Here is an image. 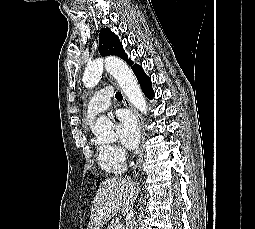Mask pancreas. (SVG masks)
I'll use <instances>...</instances> for the list:
<instances>
[{"label":"pancreas","instance_id":"obj_1","mask_svg":"<svg viewBox=\"0 0 255 229\" xmlns=\"http://www.w3.org/2000/svg\"><path fill=\"white\" fill-rule=\"evenodd\" d=\"M117 223H114V224H110L109 226H108V228L107 229H115V225H116Z\"/></svg>","mask_w":255,"mask_h":229}]
</instances>
